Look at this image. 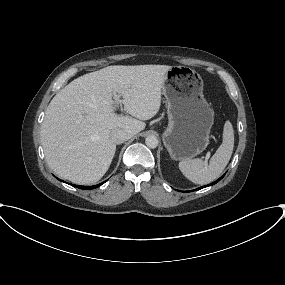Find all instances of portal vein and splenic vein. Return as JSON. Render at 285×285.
Segmentation results:
<instances>
[{
    "label": "portal vein and splenic vein",
    "mask_w": 285,
    "mask_h": 285,
    "mask_svg": "<svg viewBox=\"0 0 285 285\" xmlns=\"http://www.w3.org/2000/svg\"><path fill=\"white\" fill-rule=\"evenodd\" d=\"M114 101H115V109L118 107L120 103H122V100L120 99L119 95L114 94ZM209 158V154L207 155L206 159Z\"/></svg>",
    "instance_id": "18ae733b"
}]
</instances>
